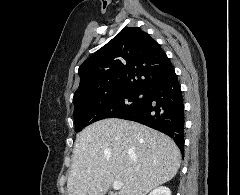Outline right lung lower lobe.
Here are the masks:
<instances>
[{"mask_svg": "<svg viewBox=\"0 0 240 195\" xmlns=\"http://www.w3.org/2000/svg\"><path fill=\"white\" fill-rule=\"evenodd\" d=\"M170 136L184 154V104L175 72L144 91L143 101L117 115Z\"/></svg>", "mask_w": 240, "mask_h": 195, "instance_id": "obj_1", "label": "right lung lower lobe"}]
</instances>
